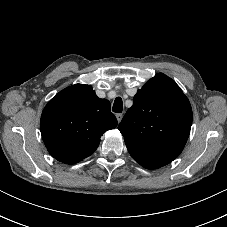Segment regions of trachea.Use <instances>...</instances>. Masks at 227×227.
I'll return each instance as SVG.
<instances>
[{
    "mask_svg": "<svg viewBox=\"0 0 227 227\" xmlns=\"http://www.w3.org/2000/svg\"><path fill=\"white\" fill-rule=\"evenodd\" d=\"M123 108V102L121 97H117L114 101L112 111L115 113H121Z\"/></svg>",
    "mask_w": 227,
    "mask_h": 227,
    "instance_id": "trachea-1",
    "label": "trachea"
}]
</instances>
